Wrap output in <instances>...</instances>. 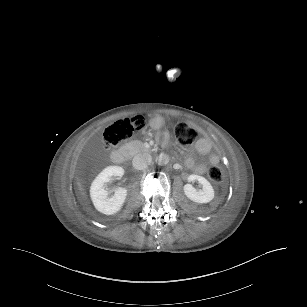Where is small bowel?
I'll list each match as a JSON object with an SVG mask.
<instances>
[{
  "instance_id": "c3829d8e",
  "label": "small bowel",
  "mask_w": 307,
  "mask_h": 307,
  "mask_svg": "<svg viewBox=\"0 0 307 307\" xmlns=\"http://www.w3.org/2000/svg\"><path fill=\"white\" fill-rule=\"evenodd\" d=\"M194 151L199 155L206 156L205 161L196 162L193 157H188L185 164L187 168L192 169L197 174H204L209 165H216L220 161L217 153L212 152V143L206 138H200L194 147Z\"/></svg>"
}]
</instances>
